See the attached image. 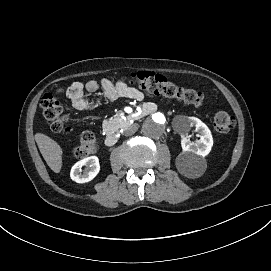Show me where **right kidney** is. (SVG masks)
I'll list each match as a JSON object with an SVG mask.
<instances>
[{
  "instance_id": "1",
  "label": "right kidney",
  "mask_w": 271,
  "mask_h": 271,
  "mask_svg": "<svg viewBox=\"0 0 271 271\" xmlns=\"http://www.w3.org/2000/svg\"><path fill=\"white\" fill-rule=\"evenodd\" d=\"M85 166L84 169H82ZM100 170L99 159L96 156L84 158L71 168L70 177L77 183H85L91 181Z\"/></svg>"
}]
</instances>
